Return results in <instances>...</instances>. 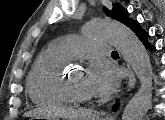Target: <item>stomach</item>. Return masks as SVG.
Returning <instances> with one entry per match:
<instances>
[{
  "mask_svg": "<svg viewBox=\"0 0 165 120\" xmlns=\"http://www.w3.org/2000/svg\"><path fill=\"white\" fill-rule=\"evenodd\" d=\"M34 119H44V118L43 117L36 116V117H33L31 120H34ZM78 120H107V119L101 118L97 114L89 113L88 115H86L84 117H81Z\"/></svg>",
  "mask_w": 165,
  "mask_h": 120,
  "instance_id": "obj_1",
  "label": "stomach"
}]
</instances>
